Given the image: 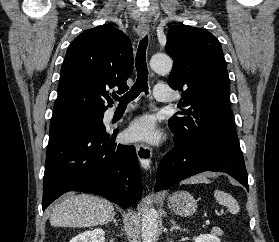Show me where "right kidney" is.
I'll list each match as a JSON object with an SVG mask.
<instances>
[{"instance_id":"ca27d5eb","label":"right kidney","mask_w":279,"mask_h":242,"mask_svg":"<svg viewBox=\"0 0 279 242\" xmlns=\"http://www.w3.org/2000/svg\"><path fill=\"white\" fill-rule=\"evenodd\" d=\"M70 242H105V231L101 228L87 230L73 237Z\"/></svg>"}]
</instances>
